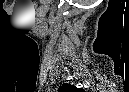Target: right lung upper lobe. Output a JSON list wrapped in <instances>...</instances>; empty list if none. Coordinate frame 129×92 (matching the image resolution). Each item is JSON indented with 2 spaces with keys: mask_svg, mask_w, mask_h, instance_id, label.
<instances>
[{
  "mask_svg": "<svg viewBox=\"0 0 129 92\" xmlns=\"http://www.w3.org/2000/svg\"><path fill=\"white\" fill-rule=\"evenodd\" d=\"M59 92H77L78 88L69 85V84H63V86H61L58 90Z\"/></svg>",
  "mask_w": 129,
  "mask_h": 92,
  "instance_id": "obj_1",
  "label": "right lung upper lobe"
}]
</instances>
